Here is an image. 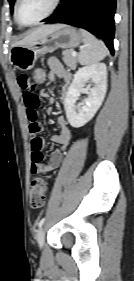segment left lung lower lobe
Returning a JSON list of instances; mask_svg holds the SVG:
<instances>
[{
  "instance_id": "0a47b994",
  "label": "left lung lower lobe",
  "mask_w": 134,
  "mask_h": 281,
  "mask_svg": "<svg viewBox=\"0 0 134 281\" xmlns=\"http://www.w3.org/2000/svg\"><path fill=\"white\" fill-rule=\"evenodd\" d=\"M116 0H63L46 23H65L98 35L114 53V14Z\"/></svg>"
}]
</instances>
